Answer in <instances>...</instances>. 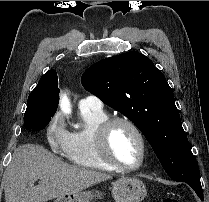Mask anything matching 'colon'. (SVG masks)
Here are the masks:
<instances>
[{
  "label": "colon",
  "instance_id": "1",
  "mask_svg": "<svg viewBox=\"0 0 209 202\" xmlns=\"http://www.w3.org/2000/svg\"><path fill=\"white\" fill-rule=\"evenodd\" d=\"M160 202H179V200L175 197H165Z\"/></svg>",
  "mask_w": 209,
  "mask_h": 202
}]
</instances>
